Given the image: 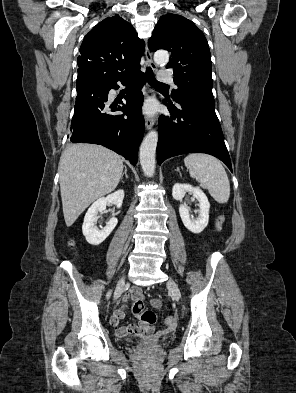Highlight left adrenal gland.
Returning <instances> with one entry per match:
<instances>
[{
  "label": "left adrenal gland",
  "mask_w": 296,
  "mask_h": 393,
  "mask_svg": "<svg viewBox=\"0 0 296 393\" xmlns=\"http://www.w3.org/2000/svg\"><path fill=\"white\" fill-rule=\"evenodd\" d=\"M176 171H177L179 174H181V172H180V169H179V168H177V169H176Z\"/></svg>",
  "instance_id": "a2214340"
}]
</instances>
